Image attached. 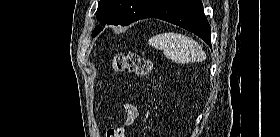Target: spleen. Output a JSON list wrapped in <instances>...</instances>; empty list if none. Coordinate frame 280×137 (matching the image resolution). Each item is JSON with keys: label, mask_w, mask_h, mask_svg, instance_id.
Instances as JSON below:
<instances>
[{"label": "spleen", "mask_w": 280, "mask_h": 137, "mask_svg": "<svg viewBox=\"0 0 280 137\" xmlns=\"http://www.w3.org/2000/svg\"><path fill=\"white\" fill-rule=\"evenodd\" d=\"M149 45L162 50L166 58L176 63L202 62L206 58L199 43L180 33L158 34L149 39Z\"/></svg>", "instance_id": "spleen-1"}]
</instances>
